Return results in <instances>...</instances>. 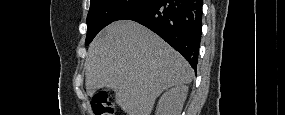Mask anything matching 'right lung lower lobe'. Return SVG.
<instances>
[{"mask_svg": "<svg viewBox=\"0 0 285 115\" xmlns=\"http://www.w3.org/2000/svg\"><path fill=\"white\" fill-rule=\"evenodd\" d=\"M202 0H151L119 20L136 21L157 33L196 71L202 34Z\"/></svg>", "mask_w": 285, "mask_h": 115, "instance_id": "obj_1", "label": "right lung lower lobe"}]
</instances>
